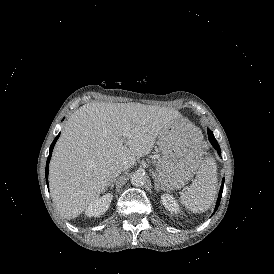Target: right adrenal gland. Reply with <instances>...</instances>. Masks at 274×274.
<instances>
[{"label":"right adrenal gland","mask_w":274,"mask_h":274,"mask_svg":"<svg viewBox=\"0 0 274 274\" xmlns=\"http://www.w3.org/2000/svg\"><path fill=\"white\" fill-rule=\"evenodd\" d=\"M115 180H116V179H114V180L112 181V183L107 187V188H110V191L113 190V187H114V184H115Z\"/></svg>","instance_id":"2a0ac1e0"}]
</instances>
